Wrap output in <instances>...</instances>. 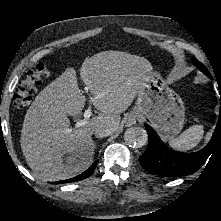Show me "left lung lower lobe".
Instances as JSON below:
<instances>
[{
	"label": "left lung lower lobe",
	"mask_w": 221,
	"mask_h": 221,
	"mask_svg": "<svg viewBox=\"0 0 221 221\" xmlns=\"http://www.w3.org/2000/svg\"><path fill=\"white\" fill-rule=\"evenodd\" d=\"M221 115V111H220ZM208 145L195 153H178L169 149L149 125H145L149 134L146 151L139 157L142 167L150 174L163 177H177L196 172L218 147H221V117Z\"/></svg>",
	"instance_id": "1"
}]
</instances>
